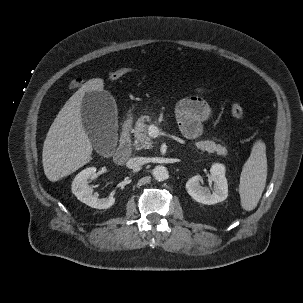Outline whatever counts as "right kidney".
<instances>
[{"label": "right kidney", "instance_id": "right-kidney-1", "mask_svg": "<svg viewBox=\"0 0 303 303\" xmlns=\"http://www.w3.org/2000/svg\"><path fill=\"white\" fill-rule=\"evenodd\" d=\"M96 172L95 167L82 170L72 182V193L78 200L96 209H107L115 203L114 197L97 198L93 196V190L88 186L87 180Z\"/></svg>", "mask_w": 303, "mask_h": 303}]
</instances>
